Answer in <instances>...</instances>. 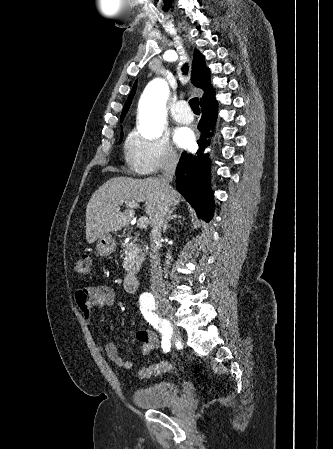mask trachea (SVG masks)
Masks as SVG:
<instances>
[{
	"instance_id": "trachea-1",
	"label": "trachea",
	"mask_w": 333,
	"mask_h": 449,
	"mask_svg": "<svg viewBox=\"0 0 333 449\" xmlns=\"http://www.w3.org/2000/svg\"><path fill=\"white\" fill-rule=\"evenodd\" d=\"M182 71H183V74H185V75L188 73V65H187V63H185L182 66ZM189 105H190L191 109L193 110V112H200L199 100H198L197 97H194V98L190 99Z\"/></svg>"
}]
</instances>
